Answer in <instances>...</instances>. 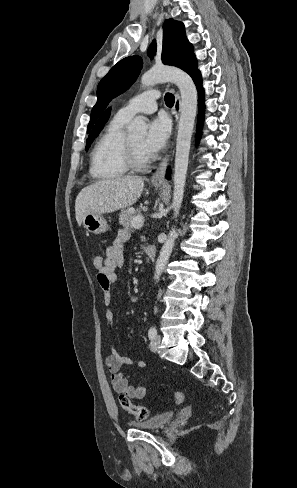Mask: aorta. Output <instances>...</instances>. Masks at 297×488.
<instances>
[{"instance_id": "762f6f07", "label": "aorta", "mask_w": 297, "mask_h": 488, "mask_svg": "<svg viewBox=\"0 0 297 488\" xmlns=\"http://www.w3.org/2000/svg\"><path fill=\"white\" fill-rule=\"evenodd\" d=\"M175 83L181 95L178 135L176 140V153L174 163V191L172 208L174 217H177L183 201L184 187L189 163L191 138L197 113V90L192 78L184 71L172 67H153L145 72L141 78L143 88L160 82ZM147 124L144 117L138 116L128 125L131 133H143ZM177 232L170 230L167 240L162 246L155 266L154 279L159 281L160 276L172 253Z\"/></svg>"}]
</instances>
